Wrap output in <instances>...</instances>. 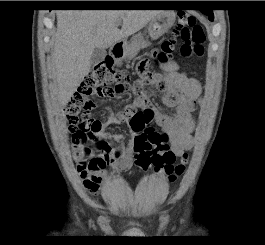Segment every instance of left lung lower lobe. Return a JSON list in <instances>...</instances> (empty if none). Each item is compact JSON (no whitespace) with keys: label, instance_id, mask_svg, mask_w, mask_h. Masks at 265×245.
<instances>
[{"label":"left lung lower lobe","instance_id":"1","mask_svg":"<svg viewBox=\"0 0 265 245\" xmlns=\"http://www.w3.org/2000/svg\"><path fill=\"white\" fill-rule=\"evenodd\" d=\"M200 11H201L202 13L208 15V16H209V20L212 21V16H213V14H212V11H211V10H200Z\"/></svg>","mask_w":265,"mask_h":245}]
</instances>
